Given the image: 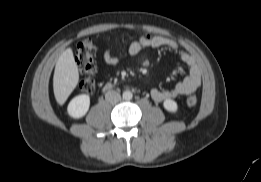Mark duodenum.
Here are the masks:
<instances>
[{"instance_id":"duodenum-1","label":"duodenum","mask_w":261,"mask_h":182,"mask_svg":"<svg viewBox=\"0 0 261 182\" xmlns=\"http://www.w3.org/2000/svg\"><path fill=\"white\" fill-rule=\"evenodd\" d=\"M111 88V84H105L104 86H103V90L104 91H107L108 89H110Z\"/></svg>"}]
</instances>
